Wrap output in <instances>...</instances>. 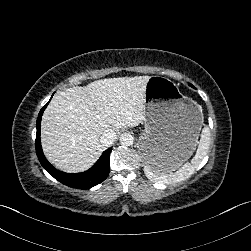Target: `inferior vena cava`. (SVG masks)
Segmentation results:
<instances>
[{
    "instance_id": "inferior-vena-cava-1",
    "label": "inferior vena cava",
    "mask_w": 251,
    "mask_h": 251,
    "mask_svg": "<svg viewBox=\"0 0 251 251\" xmlns=\"http://www.w3.org/2000/svg\"><path fill=\"white\" fill-rule=\"evenodd\" d=\"M101 144L104 147L111 146L116 141V134L111 129H106L100 138Z\"/></svg>"
}]
</instances>
